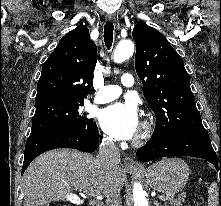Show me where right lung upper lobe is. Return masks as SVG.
<instances>
[{"label": "right lung upper lobe", "mask_w": 221, "mask_h": 206, "mask_svg": "<svg viewBox=\"0 0 221 206\" xmlns=\"http://www.w3.org/2000/svg\"><path fill=\"white\" fill-rule=\"evenodd\" d=\"M97 48L89 30L80 25L68 32L43 65L37 84L36 107L83 102L92 85Z\"/></svg>", "instance_id": "obj_1"}]
</instances>
